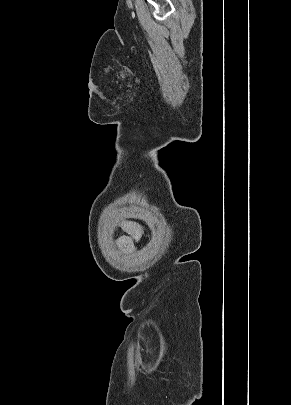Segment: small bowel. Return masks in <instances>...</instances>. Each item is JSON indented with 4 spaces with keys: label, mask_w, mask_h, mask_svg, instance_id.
Listing matches in <instances>:
<instances>
[{
    "label": "small bowel",
    "mask_w": 291,
    "mask_h": 405,
    "mask_svg": "<svg viewBox=\"0 0 291 405\" xmlns=\"http://www.w3.org/2000/svg\"><path fill=\"white\" fill-rule=\"evenodd\" d=\"M126 231L131 237H122L119 244L125 251L131 252L134 249V240H137L140 237V231L135 225H129L126 228Z\"/></svg>",
    "instance_id": "obj_1"
}]
</instances>
